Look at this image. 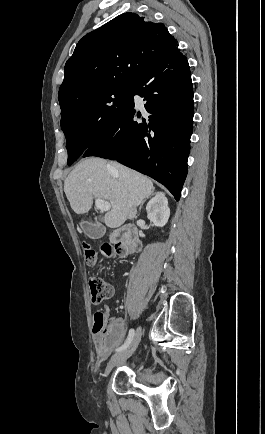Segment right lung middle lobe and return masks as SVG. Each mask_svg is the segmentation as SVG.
Listing matches in <instances>:
<instances>
[{
    "mask_svg": "<svg viewBox=\"0 0 265 434\" xmlns=\"http://www.w3.org/2000/svg\"><path fill=\"white\" fill-rule=\"evenodd\" d=\"M131 79L106 78L76 87L58 97L68 165L109 132L133 100Z\"/></svg>",
    "mask_w": 265,
    "mask_h": 434,
    "instance_id": "right-lung-middle-lobe-1",
    "label": "right lung middle lobe"
}]
</instances>
